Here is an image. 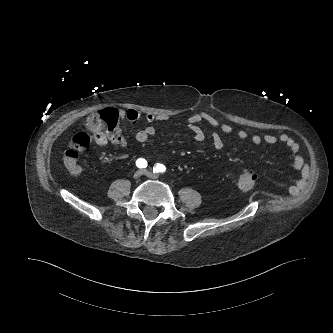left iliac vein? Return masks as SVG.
<instances>
[{
	"mask_svg": "<svg viewBox=\"0 0 333 333\" xmlns=\"http://www.w3.org/2000/svg\"><path fill=\"white\" fill-rule=\"evenodd\" d=\"M142 173L151 179H158V176L148 170H142Z\"/></svg>",
	"mask_w": 333,
	"mask_h": 333,
	"instance_id": "1",
	"label": "left iliac vein"
}]
</instances>
